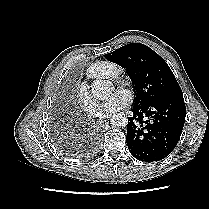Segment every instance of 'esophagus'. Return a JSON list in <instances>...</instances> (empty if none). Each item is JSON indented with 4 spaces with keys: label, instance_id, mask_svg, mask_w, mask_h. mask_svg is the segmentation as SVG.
I'll return each mask as SVG.
<instances>
[{
    "label": "esophagus",
    "instance_id": "obj_1",
    "mask_svg": "<svg viewBox=\"0 0 209 209\" xmlns=\"http://www.w3.org/2000/svg\"><path fill=\"white\" fill-rule=\"evenodd\" d=\"M106 124H108V119H104L100 121L101 126H105Z\"/></svg>",
    "mask_w": 209,
    "mask_h": 209
}]
</instances>
